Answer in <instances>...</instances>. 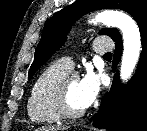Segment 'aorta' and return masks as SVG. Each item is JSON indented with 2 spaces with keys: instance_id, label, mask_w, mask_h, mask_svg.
Masks as SVG:
<instances>
[{
  "instance_id": "obj_1",
  "label": "aorta",
  "mask_w": 147,
  "mask_h": 131,
  "mask_svg": "<svg viewBox=\"0 0 147 131\" xmlns=\"http://www.w3.org/2000/svg\"><path fill=\"white\" fill-rule=\"evenodd\" d=\"M90 22L93 24L101 22L106 26L116 27L122 32L123 55L120 77L122 81H127L135 69L141 51V37L137 24L125 13L111 10L97 14Z\"/></svg>"
}]
</instances>
